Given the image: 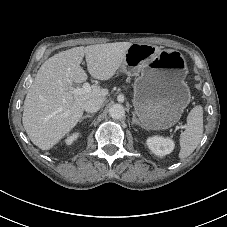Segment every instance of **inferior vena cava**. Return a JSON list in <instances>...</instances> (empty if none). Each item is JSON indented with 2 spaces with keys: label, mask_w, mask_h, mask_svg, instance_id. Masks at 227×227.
<instances>
[{
  "label": "inferior vena cava",
  "mask_w": 227,
  "mask_h": 227,
  "mask_svg": "<svg viewBox=\"0 0 227 227\" xmlns=\"http://www.w3.org/2000/svg\"><path fill=\"white\" fill-rule=\"evenodd\" d=\"M105 101L104 97L90 98L85 102L84 110L89 113L97 112Z\"/></svg>",
  "instance_id": "inferior-vena-cava-1"
}]
</instances>
